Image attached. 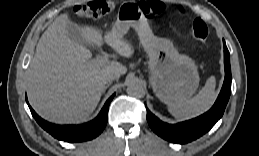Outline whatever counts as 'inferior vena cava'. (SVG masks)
I'll return each mask as SVG.
<instances>
[{"label": "inferior vena cava", "instance_id": "inferior-vena-cava-1", "mask_svg": "<svg viewBox=\"0 0 259 156\" xmlns=\"http://www.w3.org/2000/svg\"><path fill=\"white\" fill-rule=\"evenodd\" d=\"M119 77L120 74L118 72H109L105 78L107 82H112L113 80L119 79Z\"/></svg>", "mask_w": 259, "mask_h": 156}]
</instances>
